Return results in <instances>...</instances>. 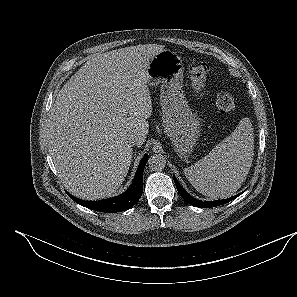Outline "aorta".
<instances>
[{
  "label": "aorta",
  "mask_w": 297,
  "mask_h": 297,
  "mask_svg": "<svg viewBox=\"0 0 297 297\" xmlns=\"http://www.w3.org/2000/svg\"><path fill=\"white\" fill-rule=\"evenodd\" d=\"M166 159L162 154H153L148 159V166L153 171H161L165 168Z\"/></svg>",
  "instance_id": "aorta-1"
}]
</instances>
